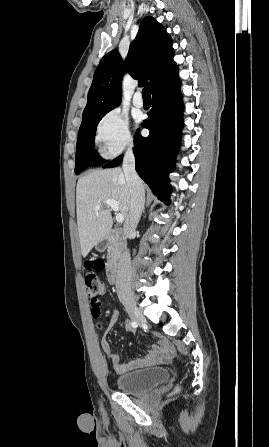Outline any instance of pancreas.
I'll return each mask as SVG.
<instances>
[{"label":"pancreas","instance_id":"pancreas-1","mask_svg":"<svg viewBox=\"0 0 269 447\" xmlns=\"http://www.w3.org/2000/svg\"><path fill=\"white\" fill-rule=\"evenodd\" d=\"M107 251L108 263H116L120 255L119 243L118 241H116V239H112V241H110V245Z\"/></svg>","mask_w":269,"mask_h":447}]
</instances>
